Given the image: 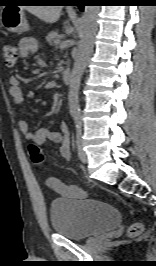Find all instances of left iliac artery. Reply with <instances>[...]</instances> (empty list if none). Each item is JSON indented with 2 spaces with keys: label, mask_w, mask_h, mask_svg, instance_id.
<instances>
[{
  "label": "left iliac artery",
  "mask_w": 156,
  "mask_h": 266,
  "mask_svg": "<svg viewBox=\"0 0 156 266\" xmlns=\"http://www.w3.org/2000/svg\"><path fill=\"white\" fill-rule=\"evenodd\" d=\"M73 117L76 127V143L78 144L80 142L81 137L82 117L79 113L75 114Z\"/></svg>",
  "instance_id": "left-iliac-artery-1"
}]
</instances>
